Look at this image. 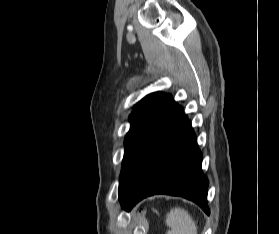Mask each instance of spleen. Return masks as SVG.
<instances>
[{"instance_id":"obj_1","label":"spleen","mask_w":279,"mask_h":234,"mask_svg":"<svg viewBox=\"0 0 279 234\" xmlns=\"http://www.w3.org/2000/svg\"><path fill=\"white\" fill-rule=\"evenodd\" d=\"M167 234H197V226L190 214L184 209L175 207L166 216Z\"/></svg>"}]
</instances>
